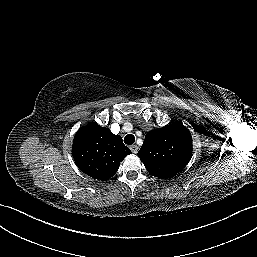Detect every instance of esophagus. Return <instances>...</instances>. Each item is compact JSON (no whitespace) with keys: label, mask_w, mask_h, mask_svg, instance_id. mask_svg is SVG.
Instances as JSON below:
<instances>
[{"label":"esophagus","mask_w":257,"mask_h":257,"mask_svg":"<svg viewBox=\"0 0 257 257\" xmlns=\"http://www.w3.org/2000/svg\"><path fill=\"white\" fill-rule=\"evenodd\" d=\"M138 146L137 145H131L130 146V150L133 152V153H137L138 152Z\"/></svg>","instance_id":"obj_1"}]
</instances>
